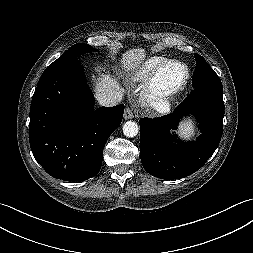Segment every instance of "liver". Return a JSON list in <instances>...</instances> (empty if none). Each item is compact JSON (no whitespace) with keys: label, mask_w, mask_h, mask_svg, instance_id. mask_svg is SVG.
Here are the masks:
<instances>
[{"label":"liver","mask_w":253,"mask_h":253,"mask_svg":"<svg viewBox=\"0 0 253 253\" xmlns=\"http://www.w3.org/2000/svg\"><path fill=\"white\" fill-rule=\"evenodd\" d=\"M145 58V50L141 48L130 49L123 54L122 64L127 71L137 68ZM110 91H121L122 88L115 78L110 74H102L95 80L96 94Z\"/></svg>","instance_id":"1"}]
</instances>
